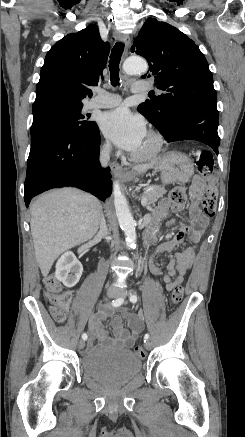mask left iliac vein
<instances>
[{
    "mask_svg": "<svg viewBox=\"0 0 245 437\" xmlns=\"http://www.w3.org/2000/svg\"><path fill=\"white\" fill-rule=\"evenodd\" d=\"M120 296L125 298L127 296V292H125V291L121 292ZM145 348L146 349H150L151 348V343L149 341L145 342Z\"/></svg>",
    "mask_w": 245,
    "mask_h": 437,
    "instance_id": "left-iliac-vein-1",
    "label": "left iliac vein"
}]
</instances>
